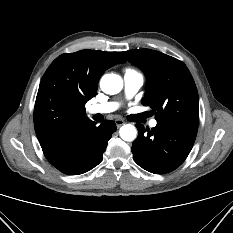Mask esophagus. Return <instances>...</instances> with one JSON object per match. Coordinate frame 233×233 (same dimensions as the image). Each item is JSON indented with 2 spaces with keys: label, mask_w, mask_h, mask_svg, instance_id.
I'll return each instance as SVG.
<instances>
[{
  "label": "esophagus",
  "mask_w": 233,
  "mask_h": 233,
  "mask_svg": "<svg viewBox=\"0 0 233 233\" xmlns=\"http://www.w3.org/2000/svg\"><path fill=\"white\" fill-rule=\"evenodd\" d=\"M124 123H125V122H124L123 119H116V120H115V124H116L117 127L122 126Z\"/></svg>",
  "instance_id": "1"
}]
</instances>
